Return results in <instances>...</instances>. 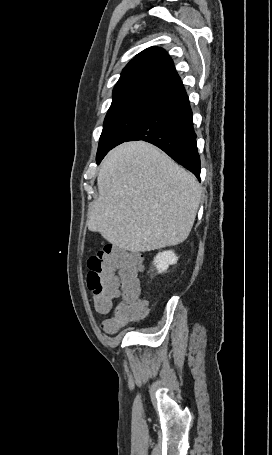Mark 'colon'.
Wrapping results in <instances>:
<instances>
[{
    "mask_svg": "<svg viewBox=\"0 0 272 455\" xmlns=\"http://www.w3.org/2000/svg\"><path fill=\"white\" fill-rule=\"evenodd\" d=\"M87 286L99 313H111L103 323L107 332H116L128 322L142 318L146 301L139 274L141 258L125 249L106 245L87 261ZM121 294V300L116 302Z\"/></svg>",
    "mask_w": 272,
    "mask_h": 455,
    "instance_id": "colon-1",
    "label": "colon"
}]
</instances>
